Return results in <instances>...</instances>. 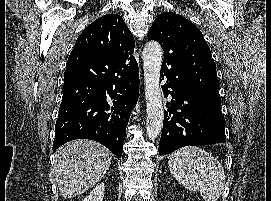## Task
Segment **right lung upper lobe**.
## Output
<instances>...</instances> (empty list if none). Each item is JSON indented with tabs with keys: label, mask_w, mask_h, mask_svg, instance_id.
I'll use <instances>...</instances> for the list:
<instances>
[{
	"label": "right lung upper lobe",
	"mask_w": 271,
	"mask_h": 201,
	"mask_svg": "<svg viewBox=\"0 0 271 201\" xmlns=\"http://www.w3.org/2000/svg\"><path fill=\"white\" fill-rule=\"evenodd\" d=\"M134 38L121 16L108 14L86 27L73 47L74 51H91L130 62L135 60Z\"/></svg>",
	"instance_id": "cb5924a9"
}]
</instances>
